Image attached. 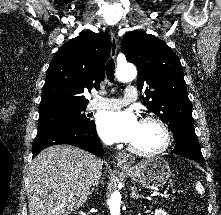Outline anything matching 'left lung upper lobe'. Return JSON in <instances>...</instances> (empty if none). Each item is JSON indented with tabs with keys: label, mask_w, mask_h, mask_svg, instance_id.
Listing matches in <instances>:
<instances>
[{
	"label": "left lung upper lobe",
	"mask_w": 221,
	"mask_h": 215,
	"mask_svg": "<svg viewBox=\"0 0 221 215\" xmlns=\"http://www.w3.org/2000/svg\"><path fill=\"white\" fill-rule=\"evenodd\" d=\"M122 52L138 69V89L147 86L144 105L168 125L176 141L197 139L182 66L171 48L151 34L132 31L123 37Z\"/></svg>",
	"instance_id": "1"
}]
</instances>
